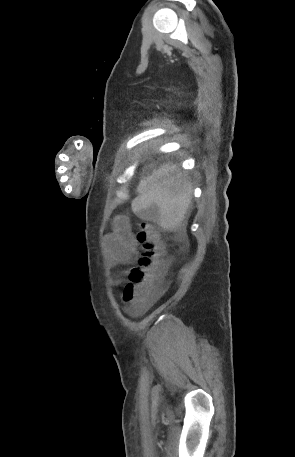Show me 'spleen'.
I'll list each match as a JSON object with an SVG mask.
<instances>
[{
	"instance_id": "1",
	"label": "spleen",
	"mask_w": 295,
	"mask_h": 457,
	"mask_svg": "<svg viewBox=\"0 0 295 457\" xmlns=\"http://www.w3.org/2000/svg\"><path fill=\"white\" fill-rule=\"evenodd\" d=\"M138 193L132 201L133 212L155 218L165 230L173 231L191 203L192 183L175 165L166 163L139 183Z\"/></svg>"
}]
</instances>
